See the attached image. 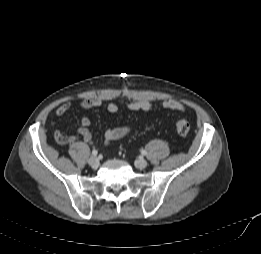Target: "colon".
<instances>
[{
    "label": "colon",
    "mask_w": 261,
    "mask_h": 254,
    "mask_svg": "<svg viewBox=\"0 0 261 254\" xmlns=\"http://www.w3.org/2000/svg\"><path fill=\"white\" fill-rule=\"evenodd\" d=\"M175 126L177 132L182 136H186L190 131V123L185 119H178Z\"/></svg>",
    "instance_id": "1"
}]
</instances>
